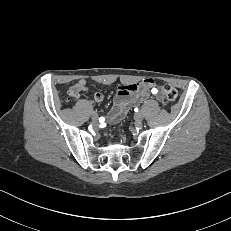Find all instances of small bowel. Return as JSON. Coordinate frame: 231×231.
<instances>
[{"instance_id": "small-bowel-1", "label": "small bowel", "mask_w": 231, "mask_h": 231, "mask_svg": "<svg viewBox=\"0 0 231 231\" xmlns=\"http://www.w3.org/2000/svg\"><path fill=\"white\" fill-rule=\"evenodd\" d=\"M154 86V81L152 79H145L139 83H129L121 87L114 98V103L111 110L108 113V118L111 121H117L121 119L128 111V109L140 103L148 94V91ZM158 90V89H157ZM71 91L76 93L85 92L87 93L88 87L85 79H79L75 84L72 85ZM159 101H163V95L158 91L155 94ZM93 98L96 102H102L104 100V95L96 91L93 94Z\"/></svg>"}]
</instances>
